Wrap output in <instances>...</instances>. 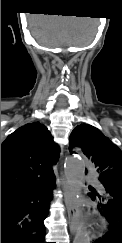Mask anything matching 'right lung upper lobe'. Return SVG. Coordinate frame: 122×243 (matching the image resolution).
I'll return each mask as SVG.
<instances>
[{"label":"right lung upper lobe","instance_id":"cb5924a9","mask_svg":"<svg viewBox=\"0 0 122 243\" xmlns=\"http://www.w3.org/2000/svg\"><path fill=\"white\" fill-rule=\"evenodd\" d=\"M59 148L39 122L26 124L1 145V195L53 174Z\"/></svg>","mask_w":122,"mask_h":243}]
</instances>
